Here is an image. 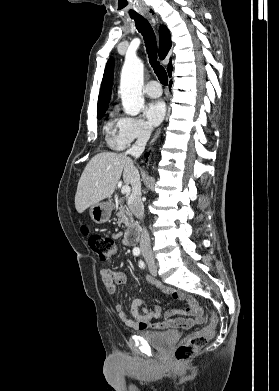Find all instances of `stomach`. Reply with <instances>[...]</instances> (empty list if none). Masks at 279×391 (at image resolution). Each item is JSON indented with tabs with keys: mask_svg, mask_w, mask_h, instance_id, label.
Listing matches in <instances>:
<instances>
[{
	"mask_svg": "<svg viewBox=\"0 0 279 391\" xmlns=\"http://www.w3.org/2000/svg\"><path fill=\"white\" fill-rule=\"evenodd\" d=\"M90 216L95 223H105L111 216V207L107 203H98L90 208Z\"/></svg>",
	"mask_w": 279,
	"mask_h": 391,
	"instance_id": "stomach-1",
	"label": "stomach"
}]
</instances>
